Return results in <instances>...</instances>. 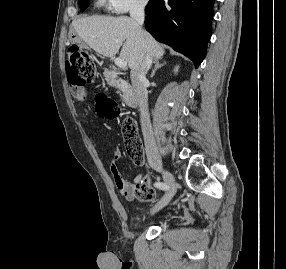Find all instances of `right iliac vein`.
<instances>
[{
  "instance_id": "right-iliac-vein-1",
  "label": "right iliac vein",
  "mask_w": 286,
  "mask_h": 269,
  "mask_svg": "<svg viewBox=\"0 0 286 269\" xmlns=\"http://www.w3.org/2000/svg\"><path fill=\"white\" fill-rule=\"evenodd\" d=\"M163 179L168 187V191L164 195V197L160 200V202L153 208L152 213L159 211L164 208L172 199L176 192V185L174 176L166 170H162Z\"/></svg>"
}]
</instances>
